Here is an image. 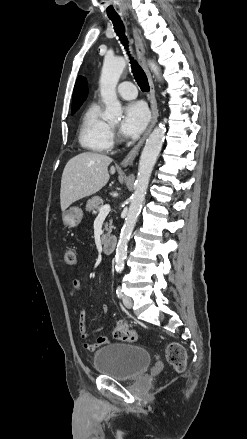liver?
Wrapping results in <instances>:
<instances>
[{
  "label": "liver",
  "mask_w": 247,
  "mask_h": 439,
  "mask_svg": "<svg viewBox=\"0 0 247 439\" xmlns=\"http://www.w3.org/2000/svg\"><path fill=\"white\" fill-rule=\"evenodd\" d=\"M112 158L107 155L84 152L71 158L63 170L60 189L62 211L72 203L98 192L109 181L108 166ZM115 173V167L110 168Z\"/></svg>",
  "instance_id": "liver-1"
}]
</instances>
